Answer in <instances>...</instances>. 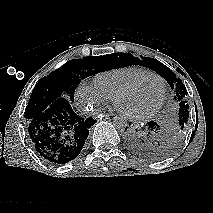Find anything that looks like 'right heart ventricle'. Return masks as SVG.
Segmentation results:
<instances>
[{
  "mask_svg": "<svg viewBox=\"0 0 213 213\" xmlns=\"http://www.w3.org/2000/svg\"><path fill=\"white\" fill-rule=\"evenodd\" d=\"M151 71L139 66H125L101 72L95 76L94 83L110 99L129 82Z\"/></svg>",
  "mask_w": 213,
  "mask_h": 213,
  "instance_id": "e07e8e85",
  "label": "right heart ventricle"
}]
</instances>
